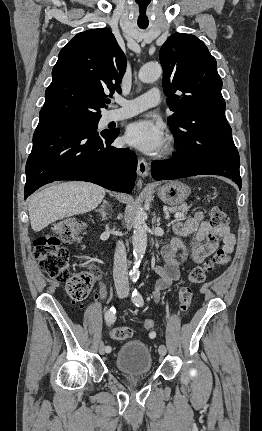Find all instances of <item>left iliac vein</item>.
I'll return each mask as SVG.
<instances>
[{"instance_id": "obj_1", "label": "left iliac vein", "mask_w": 262, "mask_h": 431, "mask_svg": "<svg viewBox=\"0 0 262 431\" xmlns=\"http://www.w3.org/2000/svg\"><path fill=\"white\" fill-rule=\"evenodd\" d=\"M158 352H159L161 357H164L166 355V352H167L165 345H160Z\"/></svg>"}]
</instances>
